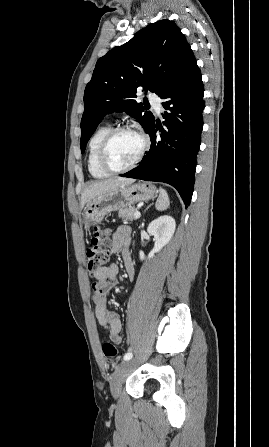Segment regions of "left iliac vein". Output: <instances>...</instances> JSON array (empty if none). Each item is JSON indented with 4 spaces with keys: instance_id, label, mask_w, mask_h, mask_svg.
Listing matches in <instances>:
<instances>
[{
    "instance_id": "obj_1",
    "label": "left iliac vein",
    "mask_w": 269,
    "mask_h": 447,
    "mask_svg": "<svg viewBox=\"0 0 269 447\" xmlns=\"http://www.w3.org/2000/svg\"><path fill=\"white\" fill-rule=\"evenodd\" d=\"M134 363V359H129L121 362L116 371L112 374V378L110 381V390L115 399H117L120 395L122 389V383L129 373V369L132 367Z\"/></svg>"
}]
</instances>
